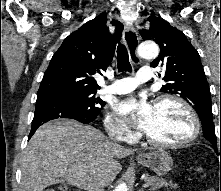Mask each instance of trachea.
<instances>
[{"label": "trachea", "mask_w": 221, "mask_h": 191, "mask_svg": "<svg viewBox=\"0 0 221 191\" xmlns=\"http://www.w3.org/2000/svg\"><path fill=\"white\" fill-rule=\"evenodd\" d=\"M117 62L119 72H131L132 67L129 62L128 51L123 44L117 47Z\"/></svg>", "instance_id": "obj_1"}]
</instances>
